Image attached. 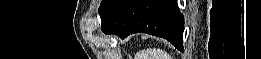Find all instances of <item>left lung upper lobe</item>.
<instances>
[{
  "label": "left lung upper lobe",
  "instance_id": "left-lung-upper-lobe-1",
  "mask_svg": "<svg viewBox=\"0 0 261 59\" xmlns=\"http://www.w3.org/2000/svg\"><path fill=\"white\" fill-rule=\"evenodd\" d=\"M120 0H103L99 7V13L101 20H103L107 14L116 6Z\"/></svg>",
  "mask_w": 261,
  "mask_h": 59
}]
</instances>
